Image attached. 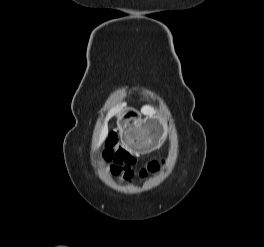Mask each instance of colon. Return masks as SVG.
I'll return each mask as SVG.
<instances>
[{"label":"colon","mask_w":264,"mask_h":247,"mask_svg":"<svg viewBox=\"0 0 264 247\" xmlns=\"http://www.w3.org/2000/svg\"><path fill=\"white\" fill-rule=\"evenodd\" d=\"M106 157L115 163L112 168L114 173L122 176L124 180H129L133 177L130 165L134 162L135 157L118 144V139L115 134H111L108 138ZM159 164L160 162L158 160L151 161L139 171V176L145 177L148 173L156 171Z\"/></svg>","instance_id":"1"}]
</instances>
